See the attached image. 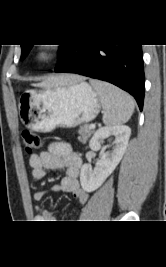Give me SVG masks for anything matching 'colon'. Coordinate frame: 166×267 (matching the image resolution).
<instances>
[{
	"label": "colon",
	"instance_id": "obj_1",
	"mask_svg": "<svg viewBox=\"0 0 166 267\" xmlns=\"http://www.w3.org/2000/svg\"><path fill=\"white\" fill-rule=\"evenodd\" d=\"M21 138L25 150L29 153L38 150L43 143L41 137L37 133L30 130H24L22 132Z\"/></svg>",
	"mask_w": 166,
	"mask_h": 267
}]
</instances>
